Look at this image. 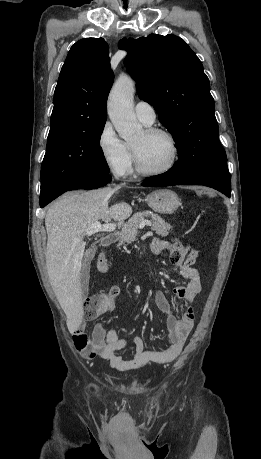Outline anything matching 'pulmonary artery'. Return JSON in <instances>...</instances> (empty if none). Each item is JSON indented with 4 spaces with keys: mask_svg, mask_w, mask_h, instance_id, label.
Returning <instances> with one entry per match:
<instances>
[{
    "mask_svg": "<svg viewBox=\"0 0 261 459\" xmlns=\"http://www.w3.org/2000/svg\"><path fill=\"white\" fill-rule=\"evenodd\" d=\"M135 113L137 118L145 125H151L156 119L154 108L145 101L137 102Z\"/></svg>",
    "mask_w": 261,
    "mask_h": 459,
    "instance_id": "e3ab8cb5",
    "label": "pulmonary artery"
}]
</instances>
